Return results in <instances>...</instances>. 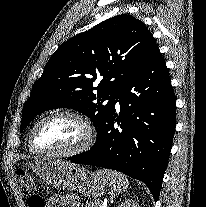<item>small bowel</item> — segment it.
Instances as JSON below:
<instances>
[{"label": "small bowel", "mask_w": 206, "mask_h": 207, "mask_svg": "<svg viewBox=\"0 0 206 207\" xmlns=\"http://www.w3.org/2000/svg\"><path fill=\"white\" fill-rule=\"evenodd\" d=\"M80 207L78 200L73 196H54L48 200L47 207L57 206Z\"/></svg>", "instance_id": "small-bowel-1"}]
</instances>
